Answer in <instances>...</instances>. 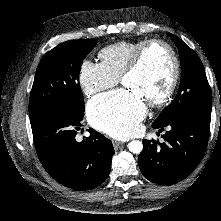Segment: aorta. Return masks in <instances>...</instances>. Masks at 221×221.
<instances>
[{
	"label": "aorta",
	"mask_w": 221,
	"mask_h": 221,
	"mask_svg": "<svg viewBox=\"0 0 221 221\" xmlns=\"http://www.w3.org/2000/svg\"><path fill=\"white\" fill-rule=\"evenodd\" d=\"M127 147L129 149V151L132 152L133 154H139L143 150V144L139 140H133V141L129 142Z\"/></svg>",
	"instance_id": "1"
}]
</instances>
